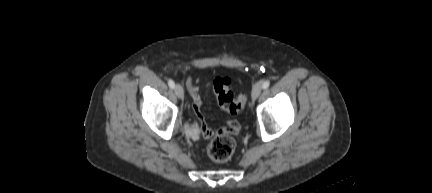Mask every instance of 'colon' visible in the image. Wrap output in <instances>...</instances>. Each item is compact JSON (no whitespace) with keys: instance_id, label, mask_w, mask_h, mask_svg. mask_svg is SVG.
<instances>
[{"instance_id":"obj_1","label":"colon","mask_w":432,"mask_h":193,"mask_svg":"<svg viewBox=\"0 0 432 193\" xmlns=\"http://www.w3.org/2000/svg\"><path fill=\"white\" fill-rule=\"evenodd\" d=\"M213 91L220 107L225 111L231 114L243 111L246 105V96L244 94L234 95L229 78L217 77L213 83ZM235 146V140L231 136L216 135L209 144L208 157L212 162L224 163L233 155Z\"/></svg>"}]
</instances>
